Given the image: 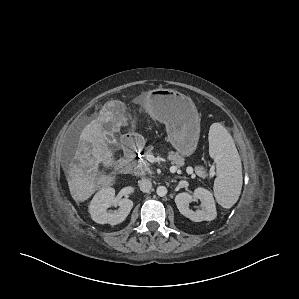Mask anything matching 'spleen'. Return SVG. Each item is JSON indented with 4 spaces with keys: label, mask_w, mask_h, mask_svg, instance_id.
I'll return each mask as SVG.
<instances>
[{
    "label": "spleen",
    "mask_w": 299,
    "mask_h": 299,
    "mask_svg": "<svg viewBox=\"0 0 299 299\" xmlns=\"http://www.w3.org/2000/svg\"><path fill=\"white\" fill-rule=\"evenodd\" d=\"M209 153L216 164L217 177L214 195L224 208H231L238 200L242 183L241 159L232 136L221 123H213L209 130Z\"/></svg>",
    "instance_id": "1"
}]
</instances>
